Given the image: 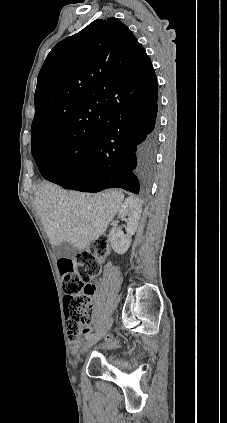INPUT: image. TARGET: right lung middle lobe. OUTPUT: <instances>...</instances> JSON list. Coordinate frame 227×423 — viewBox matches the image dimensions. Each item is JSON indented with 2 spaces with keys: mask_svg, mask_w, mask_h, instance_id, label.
<instances>
[{
  "mask_svg": "<svg viewBox=\"0 0 227 423\" xmlns=\"http://www.w3.org/2000/svg\"><path fill=\"white\" fill-rule=\"evenodd\" d=\"M32 155L43 178L54 177L71 170L74 165L86 157L94 148V142L72 145L66 140L51 136L37 139L31 143Z\"/></svg>",
  "mask_w": 227,
  "mask_h": 423,
  "instance_id": "right-lung-middle-lobe-1",
  "label": "right lung middle lobe"
}]
</instances>
